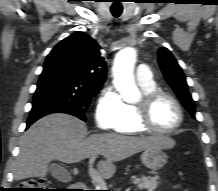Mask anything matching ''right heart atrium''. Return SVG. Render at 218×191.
I'll use <instances>...</instances> for the list:
<instances>
[{
  "mask_svg": "<svg viewBox=\"0 0 218 191\" xmlns=\"http://www.w3.org/2000/svg\"><path fill=\"white\" fill-rule=\"evenodd\" d=\"M124 102L111 87L105 88L97 100L94 119L98 128L105 131L115 130L123 117Z\"/></svg>",
  "mask_w": 218,
  "mask_h": 191,
  "instance_id": "obj_1",
  "label": "right heart atrium"
}]
</instances>
